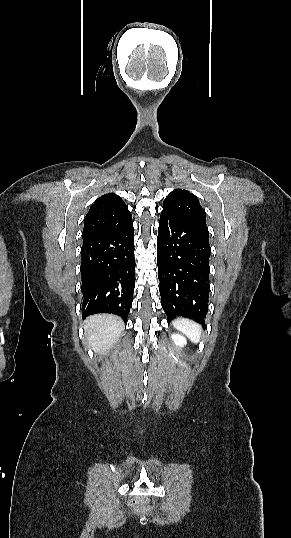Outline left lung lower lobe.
<instances>
[{"label": "left lung lower lobe", "mask_w": 291, "mask_h": 538, "mask_svg": "<svg viewBox=\"0 0 291 538\" xmlns=\"http://www.w3.org/2000/svg\"><path fill=\"white\" fill-rule=\"evenodd\" d=\"M208 239L206 225L161 212L157 265L161 305L169 320L184 316L205 323L210 292Z\"/></svg>", "instance_id": "0a47b994"}]
</instances>
